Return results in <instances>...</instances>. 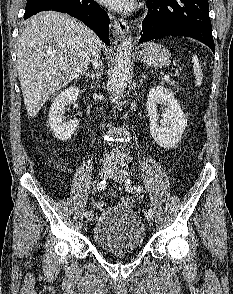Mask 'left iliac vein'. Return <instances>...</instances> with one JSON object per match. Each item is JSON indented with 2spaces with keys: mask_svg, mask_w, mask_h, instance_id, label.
<instances>
[{
  "mask_svg": "<svg viewBox=\"0 0 233 294\" xmlns=\"http://www.w3.org/2000/svg\"><path fill=\"white\" fill-rule=\"evenodd\" d=\"M109 176L113 178L115 181L122 183L123 180L127 178L128 173L126 170L122 168L115 167L112 169L111 174ZM145 217L148 221H152L153 219V215L148 212L145 213Z\"/></svg>",
  "mask_w": 233,
  "mask_h": 294,
  "instance_id": "4c4485c4",
  "label": "left iliac vein"
}]
</instances>
